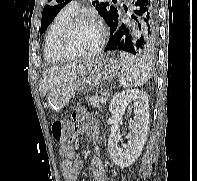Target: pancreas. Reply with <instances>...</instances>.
I'll return each mask as SVG.
<instances>
[{"label":"pancreas","instance_id":"pancreas-1","mask_svg":"<svg viewBox=\"0 0 197 181\" xmlns=\"http://www.w3.org/2000/svg\"><path fill=\"white\" fill-rule=\"evenodd\" d=\"M90 105L93 107H101L100 103H101V96L99 95H95L93 97H90L89 99Z\"/></svg>","mask_w":197,"mask_h":181}]
</instances>
